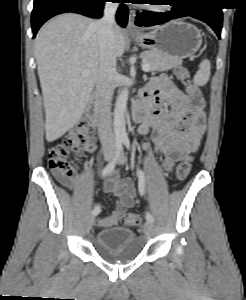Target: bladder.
<instances>
[{
  "label": "bladder",
  "instance_id": "1",
  "mask_svg": "<svg viewBox=\"0 0 246 300\" xmlns=\"http://www.w3.org/2000/svg\"><path fill=\"white\" fill-rule=\"evenodd\" d=\"M95 247L110 259L126 262L141 254L142 242L132 229L115 226L97 232Z\"/></svg>",
  "mask_w": 246,
  "mask_h": 300
}]
</instances>
